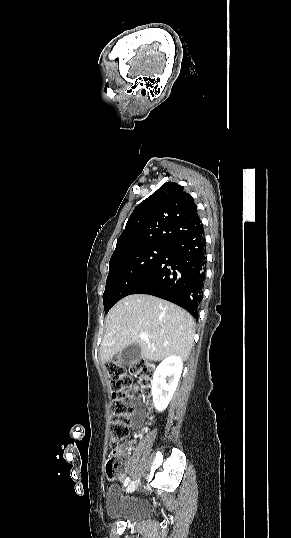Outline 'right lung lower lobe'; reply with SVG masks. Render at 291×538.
<instances>
[{
	"mask_svg": "<svg viewBox=\"0 0 291 538\" xmlns=\"http://www.w3.org/2000/svg\"><path fill=\"white\" fill-rule=\"evenodd\" d=\"M206 242L201 225L169 246L161 260L130 294H150L198 317L205 280Z\"/></svg>",
	"mask_w": 291,
	"mask_h": 538,
	"instance_id": "1",
	"label": "right lung lower lobe"
}]
</instances>
